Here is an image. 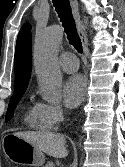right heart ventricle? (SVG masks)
<instances>
[{
  "instance_id": "1",
  "label": "right heart ventricle",
  "mask_w": 125,
  "mask_h": 167,
  "mask_svg": "<svg viewBox=\"0 0 125 167\" xmlns=\"http://www.w3.org/2000/svg\"><path fill=\"white\" fill-rule=\"evenodd\" d=\"M25 123L35 130H50L52 126L47 122L41 103L30 104L26 110Z\"/></svg>"
}]
</instances>
